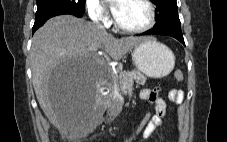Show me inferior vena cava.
I'll use <instances>...</instances> for the list:
<instances>
[{
	"mask_svg": "<svg viewBox=\"0 0 227 142\" xmlns=\"http://www.w3.org/2000/svg\"><path fill=\"white\" fill-rule=\"evenodd\" d=\"M95 24H96V26H97L99 29H103V30H104V27H103L101 24H99L97 21L95 22Z\"/></svg>",
	"mask_w": 227,
	"mask_h": 142,
	"instance_id": "inferior-vena-cava-1",
	"label": "inferior vena cava"
}]
</instances>
